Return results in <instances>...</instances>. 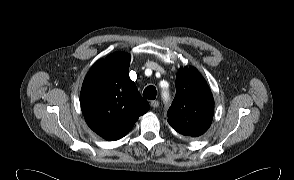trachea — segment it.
<instances>
[{
	"label": "trachea",
	"mask_w": 294,
	"mask_h": 180,
	"mask_svg": "<svg viewBox=\"0 0 294 180\" xmlns=\"http://www.w3.org/2000/svg\"><path fill=\"white\" fill-rule=\"evenodd\" d=\"M157 91L154 86H147L145 90L143 91V96L147 99L153 100L156 98Z\"/></svg>",
	"instance_id": "1"
}]
</instances>
